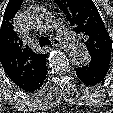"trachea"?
<instances>
[{
  "instance_id": "obj_1",
  "label": "trachea",
  "mask_w": 113,
  "mask_h": 113,
  "mask_svg": "<svg viewBox=\"0 0 113 113\" xmlns=\"http://www.w3.org/2000/svg\"><path fill=\"white\" fill-rule=\"evenodd\" d=\"M39 45H40V47L42 48V47H44V46H46V45H51V42H50V40H49L48 38L42 36V37H40V39H39Z\"/></svg>"
}]
</instances>
